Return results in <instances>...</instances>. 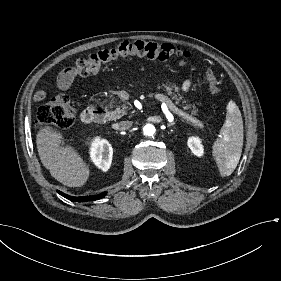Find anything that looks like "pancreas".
I'll use <instances>...</instances> for the list:
<instances>
[{
    "label": "pancreas",
    "instance_id": "pancreas-1",
    "mask_svg": "<svg viewBox=\"0 0 281 281\" xmlns=\"http://www.w3.org/2000/svg\"><path fill=\"white\" fill-rule=\"evenodd\" d=\"M172 86V87H171ZM162 87L165 88L167 91H168V95H172L173 94V91L174 93L178 92L180 90L179 86L177 85H173L171 82H166V83H163L162 84ZM179 95V97H178ZM168 98V97H166ZM170 99V98H168ZM173 99L176 100V103H172V104H175L176 105H179L180 106V101L183 99V96L180 95L179 93L178 94H174L173 95ZM172 100V99H171ZM184 103H186V101H184ZM189 107H192L193 108V111H192V114H196L198 116V108L192 104H188L185 106V108H189ZM126 111L124 110H121L119 107L117 109H115L114 111L111 112L110 116H109V119L112 120V121H116L117 119L121 118L123 116V114H125ZM191 116V115H190ZM192 118H194L193 116H191ZM195 120L201 122L200 120L194 118ZM203 124V127L205 126V124L203 122H201ZM202 129V128H200Z\"/></svg>",
    "mask_w": 281,
    "mask_h": 281
}]
</instances>
